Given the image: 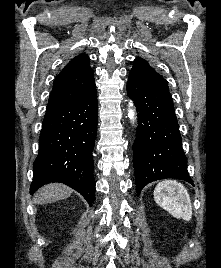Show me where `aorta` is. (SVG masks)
<instances>
[{"label": "aorta", "instance_id": "obj_1", "mask_svg": "<svg viewBox=\"0 0 221 268\" xmlns=\"http://www.w3.org/2000/svg\"><path fill=\"white\" fill-rule=\"evenodd\" d=\"M131 106H132V104L129 103V107H131ZM128 117H129V119H130L132 122H134L135 119H136V117H135V111L129 108V110H128Z\"/></svg>", "mask_w": 221, "mask_h": 268}]
</instances>
